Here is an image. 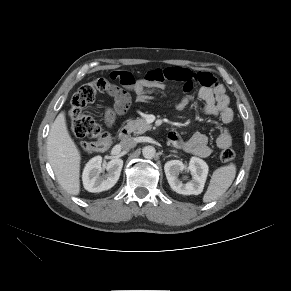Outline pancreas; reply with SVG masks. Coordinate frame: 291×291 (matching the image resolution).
Segmentation results:
<instances>
[{"label":"pancreas","instance_id":"1","mask_svg":"<svg viewBox=\"0 0 291 291\" xmlns=\"http://www.w3.org/2000/svg\"><path fill=\"white\" fill-rule=\"evenodd\" d=\"M126 127L130 132L134 134H143L144 132L150 130L152 127L146 122L144 118H137L136 120L128 121Z\"/></svg>","mask_w":291,"mask_h":291}]
</instances>
